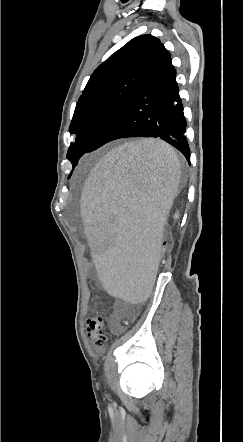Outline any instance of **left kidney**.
<instances>
[{"instance_id": "5707ae66", "label": "left kidney", "mask_w": 243, "mask_h": 442, "mask_svg": "<svg viewBox=\"0 0 243 442\" xmlns=\"http://www.w3.org/2000/svg\"><path fill=\"white\" fill-rule=\"evenodd\" d=\"M174 218H175V219H178V218H179V213H178V212L175 214Z\"/></svg>"}]
</instances>
